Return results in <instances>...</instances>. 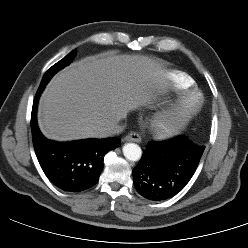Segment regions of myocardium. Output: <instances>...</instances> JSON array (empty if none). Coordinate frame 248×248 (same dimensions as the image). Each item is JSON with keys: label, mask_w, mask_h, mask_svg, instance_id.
<instances>
[{"label": "myocardium", "mask_w": 248, "mask_h": 248, "mask_svg": "<svg viewBox=\"0 0 248 248\" xmlns=\"http://www.w3.org/2000/svg\"><path fill=\"white\" fill-rule=\"evenodd\" d=\"M203 97L197 91H189L161 111L153 121L154 131L162 137L176 135L201 110Z\"/></svg>", "instance_id": "obj_1"}]
</instances>
